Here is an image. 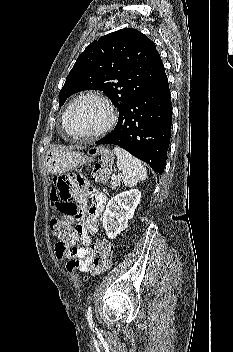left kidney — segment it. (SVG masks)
Instances as JSON below:
<instances>
[{"mask_svg": "<svg viewBox=\"0 0 233 352\" xmlns=\"http://www.w3.org/2000/svg\"><path fill=\"white\" fill-rule=\"evenodd\" d=\"M140 198L141 192L138 189H131L120 192L109 200L102 221L108 238L114 239L127 228Z\"/></svg>", "mask_w": 233, "mask_h": 352, "instance_id": "1", "label": "left kidney"}]
</instances>
